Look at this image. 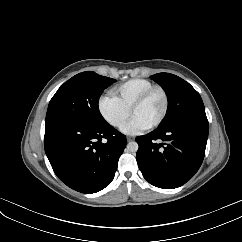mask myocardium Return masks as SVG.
I'll return each mask as SVG.
<instances>
[{"label":"myocardium","instance_id":"obj_1","mask_svg":"<svg viewBox=\"0 0 242 242\" xmlns=\"http://www.w3.org/2000/svg\"><path fill=\"white\" fill-rule=\"evenodd\" d=\"M154 92H160L163 96L164 99V106L162 113L158 120L154 122L152 125L148 127V129H155L159 127L163 121L165 120L168 110H169V105H170V98L167 90L162 87V86H152L151 88L147 89L145 92H143L132 104L130 108V114L133 116L134 111L140 107L144 102L154 93Z\"/></svg>","mask_w":242,"mask_h":242}]
</instances>
